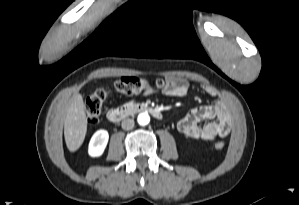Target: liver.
Listing matches in <instances>:
<instances>
[{"label":"liver","mask_w":299,"mask_h":205,"mask_svg":"<svg viewBox=\"0 0 299 205\" xmlns=\"http://www.w3.org/2000/svg\"><path fill=\"white\" fill-rule=\"evenodd\" d=\"M87 132V117L83 97L76 93L64 119V137L69 151L74 152L82 145Z\"/></svg>","instance_id":"liver-1"}]
</instances>
